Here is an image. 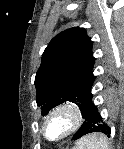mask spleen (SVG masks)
I'll list each match as a JSON object with an SVG mask.
<instances>
[{
  "label": "spleen",
  "instance_id": "obj_1",
  "mask_svg": "<svg viewBox=\"0 0 124 149\" xmlns=\"http://www.w3.org/2000/svg\"><path fill=\"white\" fill-rule=\"evenodd\" d=\"M108 149L105 141L102 138H97L95 136H89L85 138L77 147V149Z\"/></svg>",
  "mask_w": 124,
  "mask_h": 149
}]
</instances>
